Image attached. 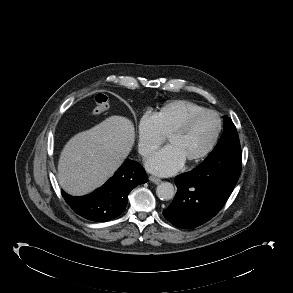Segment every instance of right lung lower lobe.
Instances as JSON below:
<instances>
[{
  "label": "right lung lower lobe",
  "mask_w": 293,
  "mask_h": 293,
  "mask_svg": "<svg viewBox=\"0 0 293 293\" xmlns=\"http://www.w3.org/2000/svg\"><path fill=\"white\" fill-rule=\"evenodd\" d=\"M147 180L143 167L127 159L114 176L93 193L73 197L62 191V195L78 215L91 221L106 222L125 210L130 191Z\"/></svg>",
  "instance_id": "98d812e1"
}]
</instances>
